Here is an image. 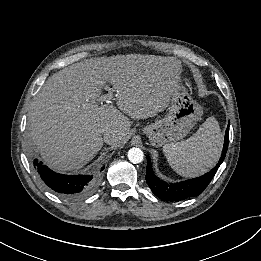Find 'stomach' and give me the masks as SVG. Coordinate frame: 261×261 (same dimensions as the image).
I'll use <instances>...</instances> for the list:
<instances>
[{"mask_svg":"<svg viewBox=\"0 0 261 261\" xmlns=\"http://www.w3.org/2000/svg\"><path fill=\"white\" fill-rule=\"evenodd\" d=\"M202 107L182 83L171 95L166 117L156 120L142 129L152 146L161 147L184 138L202 116Z\"/></svg>","mask_w":261,"mask_h":261,"instance_id":"stomach-1","label":"stomach"}]
</instances>
